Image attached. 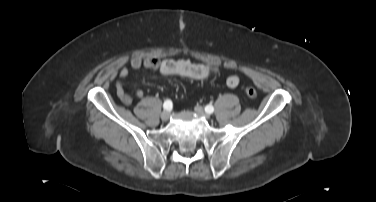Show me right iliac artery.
<instances>
[{
	"mask_svg": "<svg viewBox=\"0 0 376 202\" xmlns=\"http://www.w3.org/2000/svg\"><path fill=\"white\" fill-rule=\"evenodd\" d=\"M172 106H173V104H172V101L171 100H166L165 102H164V104H163V108L165 109V110H171L172 109Z\"/></svg>",
	"mask_w": 376,
	"mask_h": 202,
	"instance_id": "82829eb1",
	"label": "right iliac artery"
}]
</instances>
